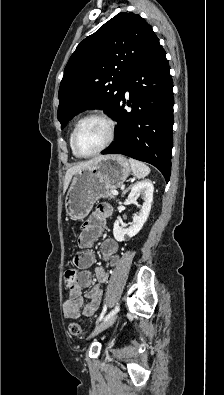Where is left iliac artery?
I'll use <instances>...</instances> for the list:
<instances>
[{"label":"left iliac artery","instance_id":"obj_1","mask_svg":"<svg viewBox=\"0 0 224 395\" xmlns=\"http://www.w3.org/2000/svg\"><path fill=\"white\" fill-rule=\"evenodd\" d=\"M106 309H107V307L105 306V307L103 308V311H102L100 317H99V320H102V319L105 320V319L109 318L110 316H112L113 314H115L116 312H118V311H119V305L117 304V305L115 306V308H114L108 315H106V316L104 317L105 312H106Z\"/></svg>","mask_w":224,"mask_h":395}]
</instances>
